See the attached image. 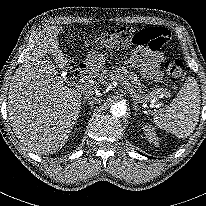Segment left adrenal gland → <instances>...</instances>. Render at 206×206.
I'll return each mask as SVG.
<instances>
[{"label": "left adrenal gland", "mask_w": 206, "mask_h": 206, "mask_svg": "<svg viewBox=\"0 0 206 206\" xmlns=\"http://www.w3.org/2000/svg\"><path fill=\"white\" fill-rule=\"evenodd\" d=\"M134 109H135V115H136V113L138 112V105L136 101H134Z\"/></svg>", "instance_id": "a2214340"}]
</instances>
